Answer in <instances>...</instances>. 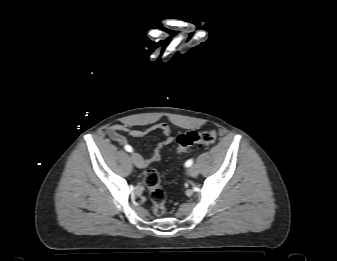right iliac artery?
Segmentation results:
<instances>
[{
    "label": "right iliac artery",
    "instance_id": "82829eb1",
    "mask_svg": "<svg viewBox=\"0 0 337 261\" xmlns=\"http://www.w3.org/2000/svg\"><path fill=\"white\" fill-rule=\"evenodd\" d=\"M124 149H125L127 152H132V151H133V149H132V147H131L130 145H126V146L124 147Z\"/></svg>",
    "mask_w": 337,
    "mask_h": 261
}]
</instances>
